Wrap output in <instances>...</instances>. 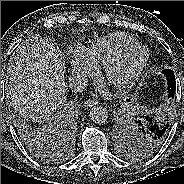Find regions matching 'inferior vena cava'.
Masks as SVG:
<instances>
[{"label":"inferior vena cava","mask_w":184,"mask_h":184,"mask_svg":"<svg viewBox=\"0 0 184 184\" xmlns=\"http://www.w3.org/2000/svg\"><path fill=\"white\" fill-rule=\"evenodd\" d=\"M70 88L74 92H82L88 86V79L81 75H72L69 78Z\"/></svg>","instance_id":"602c4592"}]
</instances>
